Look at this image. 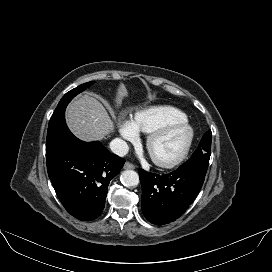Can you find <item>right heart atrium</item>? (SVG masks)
<instances>
[{"label":"right heart atrium","mask_w":272,"mask_h":272,"mask_svg":"<svg viewBox=\"0 0 272 272\" xmlns=\"http://www.w3.org/2000/svg\"><path fill=\"white\" fill-rule=\"evenodd\" d=\"M119 131L123 139L131 142L138 140V131L136 130L133 122L129 120H123L120 122Z\"/></svg>","instance_id":"1"}]
</instances>
